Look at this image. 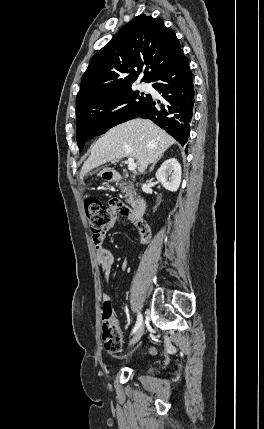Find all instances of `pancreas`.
Segmentation results:
<instances>
[{"label": "pancreas", "mask_w": 264, "mask_h": 429, "mask_svg": "<svg viewBox=\"0 0 264 429\" xmlns=\"http://www.w3.org/2000/svg\"><path fill=\"white\" fill-rule=\"evenodd\" d=\"M119 188L121 189L122 193H125L124 197L127 198L126 202L132 204L135 194L133 185L128 182H121L119 184Z\"/></svg>", "instance_id": "1"}]
</instances>
